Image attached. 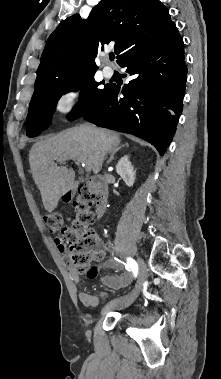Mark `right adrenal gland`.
Wrapping results in <instances>:
<instances>
[{
    "instance_id": "right-adrenal-gland-1",
    "label": "right adrenal gland",
    "mask_w": 221,
    "mask_h": 379,
    "mask_svg": "<svg viewBox=\"0 0 221 379\" xmlns=\"http://www.w3.org/2000/svg\"><path fill=\"white\" fill-rule=\"evenodd\" d=\"M124 146H127V144H122L120 146H115L113 147L112 149V152H111V156H110V159L107 161V164H110V162H112V160L114 159V156L115 154Z\"/></svg>"
}]
</instances>
